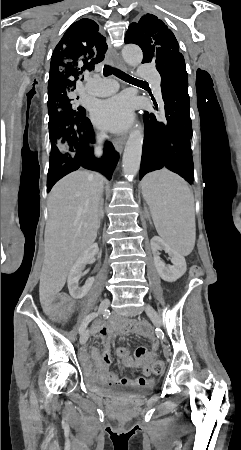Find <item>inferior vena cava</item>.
Here are the masks:
<instances>
[{
	"label": "inferior vena cava",
	"instance_id": "602c4592",
	"mask_svg": "<svg viewBox=\"0 0 241 450\" xmlns=\"http://www.w3.org/2000/svg\"><path fill=\"white\" fill-rule=\"evenodd\" d=\"M105 138H107V136H103V134H100V136H97V144L98 146H96L95 148V156H97V158H100V156H102V142L103 140H105ZM98 178L99 180H102V176H99L98 174ZM102 184V182H101ZM99 216H101V214H99Z\"/></svg>",
	"mask_w": 241,
	"mask_h": 450
}]
</instances>
